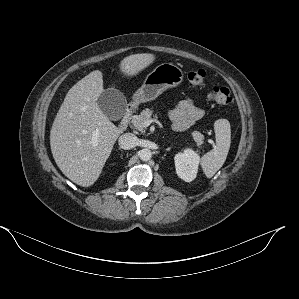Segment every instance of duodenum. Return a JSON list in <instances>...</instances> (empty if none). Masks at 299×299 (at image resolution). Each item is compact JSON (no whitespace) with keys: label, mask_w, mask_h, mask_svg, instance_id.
I'll return each instance as SVG.
<instances>
[{"label":"duodenum","mask_w":299,"mask_h":299,"mask_svg":"<svg viewBox=\"0 0 299 299\" xmlns=\"http://www.w3.org/2000/svg\"><path fill=\"white\" fill-rule=\"evenodd\" d=\"M131 114H132V107H128L124 116H123V119L121 120L120 122V127L121 128H125L129 122V119L131 117Z\"/></svg>","instance_id":"1"}]
</instances>
